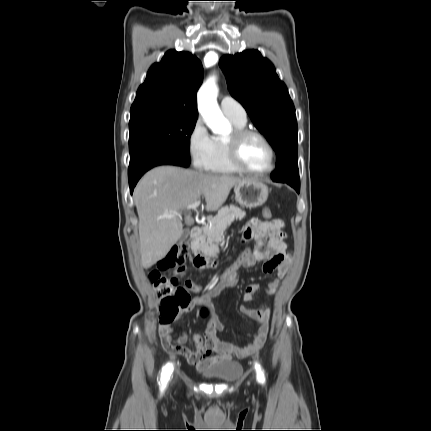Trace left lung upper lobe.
<instances>
[{
  "mask_svg": "<svg viewBox=\"0 0 431 431\" xmlns=\"http://www.w3.org/2000/svg\"><path fill=\"white\" fill-rule=\"evenodd\" d=\"M230 94L246 109L277 155L274 181L298 182V129L295 108L273 64L258 50L221 58Z\"/></svg>",
  "mask_w": 431,
  "mask_h": 431,
  "instance_id": "1",
  "label": "left lung upper lobe"
}]
</instances>
